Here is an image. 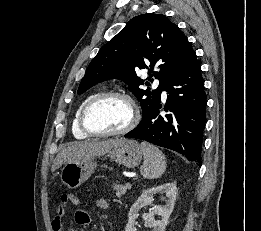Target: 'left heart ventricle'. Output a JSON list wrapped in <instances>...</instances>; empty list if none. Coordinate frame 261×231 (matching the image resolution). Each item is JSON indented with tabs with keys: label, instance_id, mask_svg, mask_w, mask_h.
Segmentation results:
<instances>
[{
	"label": "left heart ventricle",
	"instance_id": "obj_1",
	"mask_svg": "<svg viewBox=\"0 0 261 231\" xmlns=\"http://www.w3.org/2000/svg\"><path fill=\"white\" fill-rule=\"evenodd\" d=\"M132 117L129 103L122 98H108L92 107L87 114L88 125L97 132L125 128Z\"/></svg>",
	"mask_w": 261,
	"mask_h": 231
}]
</instances>
